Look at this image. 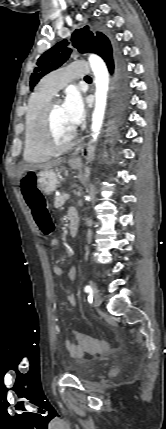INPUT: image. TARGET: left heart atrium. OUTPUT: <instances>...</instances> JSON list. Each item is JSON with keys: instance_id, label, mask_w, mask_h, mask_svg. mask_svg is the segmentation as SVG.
<instances>
[{"instance_id": "39dd6f15", "label": "left heart atrium", "mask_w": 166, "mask_h": 429, "mask_svg": "<svg viewBox=\"0 0 166 429\" xmlns=\"http://www.w3.org/2000/svg\"><path fill=\"white\" fill-rule=\"evenodd\" d=\"M63 108L73 128L82 122L84 118V104L79 92L70 91L63 102Z\"/></svg>"}]
</instances>
